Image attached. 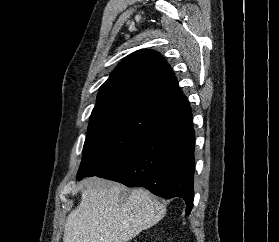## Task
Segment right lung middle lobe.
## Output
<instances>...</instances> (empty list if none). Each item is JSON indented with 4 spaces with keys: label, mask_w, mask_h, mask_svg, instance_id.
<instances>
[{
    "label": "right lung middle lobe",
    "mask_w": 279,
    "mask_h": 242,
    "mask_svg": "<svg viewBox=\"0 0 279 242\" xmlns=\"http://www.w3.org/2000/svg\"><path fill=\"white\" fill-rule=\"evenodd\" d=\"M160 115L140 111L92 114L77 179L103 172L156 129Z\"/></svg>",
    "instance_id": "right-lung-middle-lobe-1"
}]
</instances>
